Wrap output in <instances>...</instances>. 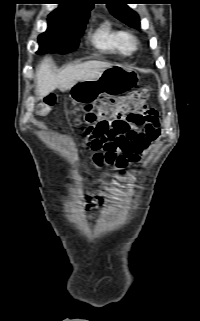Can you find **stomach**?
<instances>
[{
  "label": "stomach",
  "instance_id": "stomach-1",
  "mask_svg": "<svg viewBox=\"0 0 200 321\" xmlns=\"http://www.w3.org/2000/svg\"><path fill=\"white\" fill-rule=\"evenodd\" d=\"M139 81L134 69L113 65L105 69L97 78L80 81L70 89V98L81 104L94 102L102 94L116 96L127 92Z\"/></svg>",
  "mask_w": 200,
  "mask_h": 321
}]
</instances>
